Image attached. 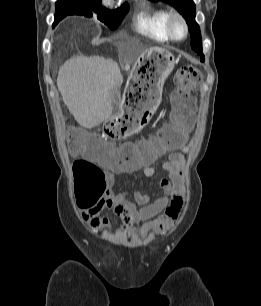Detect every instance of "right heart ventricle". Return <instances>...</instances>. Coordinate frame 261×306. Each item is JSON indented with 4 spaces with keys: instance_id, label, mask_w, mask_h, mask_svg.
Masks as SVG:
<instances>
[{
    "instance_id": "obj_1",
    "label": "right heart ventricle",
    "mask_w": 261,
    "mask_h": 306,
    "mask_svg": "<svg viewBox=\"0 0 261 306\" xmlns=\"http://www.w3.org/2000/svg\"><path fill=\"white\" fill-rule=\"evenodd\" d=\"M168 16L169 12L165 9H143L136 16V29L157 41H169L171 37L167 30Z\"/></svg>"
}]
</instances>
